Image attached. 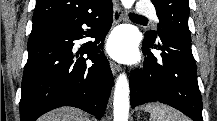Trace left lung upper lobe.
Here are the masks:
<instances>
[{
	"label": "left lung upper lobe",
	"mask_w": 217,
	"mask_h": 121,
	"mask_svg": "<svg viewBox=\"0 0 217 121\" xmlns=\"http://www.w3.org/2000/svg\"><path fill=\"white\" fill-rule=\"evenodd\" d=\"M155 5L159 18L157 31L147 32L145 37L155 41L164 30L171 31L191 42L190 30L188 27L189 3L188 0H151Z\"/></svg>",
	"instance_id": "1"
}]
</instances>
